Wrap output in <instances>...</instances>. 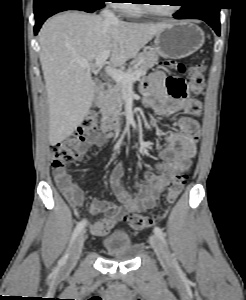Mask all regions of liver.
Returning <instances> with one entry per match:
<instances>
[{"label":"liver","mask_w":246,"mask_h":300,"mask_svg":"<svg viewBox=\"0 0 246 300\" xmlns=\"http://www.w3.org/2000/svg\"><path fill=\"white\" fill-rule=\"evenodd\" d=\"M167 25L108 21L76 11L45 22L39 32V57L48 96L50 144L62 142L81 125L95 97L90 70L77 61L93 63L110 51V64L119 67Z\"/></svg>","instance_id":"6515ba94"}]
</instances>
